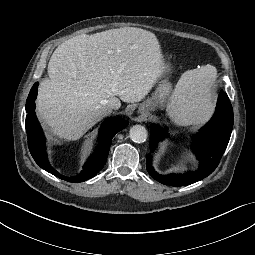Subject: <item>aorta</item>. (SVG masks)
Here are the masks:
<instances>
[{"label": "aorta", "instance_id": "obj_1", "mask_svg": "<svg viewBox=\"0 0 255 255\" xmlns=\"http://www.w3.org/2000/svg\"><path fill=\"white\" fill-rule=\"evenodd\" d=\"M129 137L135 143L145 142L147 139V130L142 125H134L130 128Z\"/></svg>", "mask_w": 255, "mask_h": 255}]
</instances>
